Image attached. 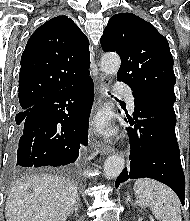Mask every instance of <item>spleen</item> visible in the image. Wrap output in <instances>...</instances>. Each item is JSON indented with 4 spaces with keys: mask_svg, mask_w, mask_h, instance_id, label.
Returning <instances> with one entry per match:
<instances>
[{
    "mask_svg": "<svg viewBox=\"0 0 190 221\" xmlns=\"http://www.w3.org/2000/svg\"><path fill=\"white\" fill-rule=\"evenodd\" d=\"M136 204L140 207L150 206L159 221H182L180 201L177 195L160 182L143 178L134 184Z\"/></svg>",
    "mask_w": 190,
    "mask_h": 221,
    "instance_id": "spleen-1",
    "label": "spleen"
}]
</instances>
